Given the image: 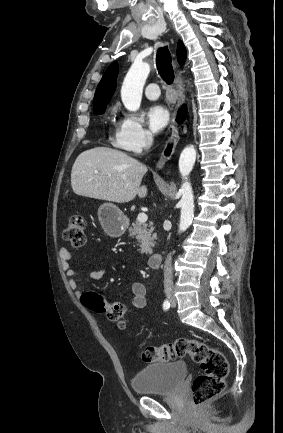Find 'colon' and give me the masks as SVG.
Returning a JSON list of instances; mask_svg holds the SVG:
<instances>
[{
  "mask_svg": "<svg viewBox=\"0 0 283 433\" xmlns=\"http://www.w3.org/2000/svg\"><path fill=\"white\" fill-rule=\"evenodd\" d=\"M63 237L73 247L80 248L86 243V221L81 215H72L63 230ZM82 304L89 310L105 314L120 329L127 325L125 307L121 303H108L95 292L81 296ZM189 356L202 370L192 384V397L196 406H202L221 394L229 364L224 354L207 344L187 338H178L159 346L149 345L142 349L141 357L146 362L169 361Z\"/></svg>",
  "mask_w": 283,
  "mask_h": 433,
  "instance_id": "1",
  "label": "colon"
}]
</instances>
